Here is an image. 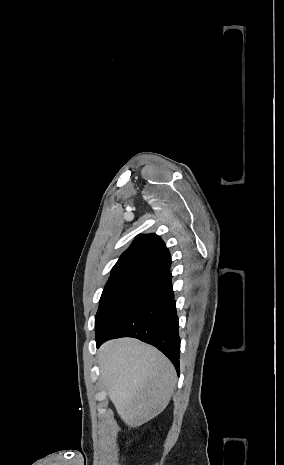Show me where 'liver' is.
Returning a JSON list of instances; mask_svg holds the SVG:
<instances>
[{
	"instance_id": "1",
	"label": "liver",
	"mask_w": 284,
	"mask_h": 465,
	"mask_svg": "<svg viewBox=\"0 0 284 465\" xmlns=\"http://www.w3.org/2000/svg\"><path fill=\"white\" fill-rule=\"evenodd\" d=\"M101 381L127 427H140L160 415L177 383L169 359L137 339L108 341L99 349Z\"/></svg>"
}]
</instances>
